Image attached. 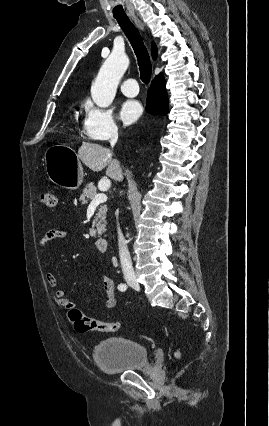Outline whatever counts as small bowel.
I'll list each match as a JSON object with an SVG mask.
<instances>
[{
	"label": "small bowel",
	"mask_w": 269,
	"mask_h": 426,
	"mask_svg": "<svg viewBox=\"0 0 269 426\" xmlns=\"http://www.w3.org/2000/svg\"><path fill=\"white\" fill-rule=\"evenodd\" d=\"M67 227L65 225H56L55 227L51 228L50 230L46 231L42 238L39 241V248L40 252L43 255V263L46 266L47 265V259L45 257V248L48 243L55 239L64 238L67 235ZM46 280L48 284L55 288V298L57 300V303L64 309H71L74 306V303L67 298L65 292L62 289L58 288V281L55 275L51 272H46ZM101 281L103 285V289L105 292V297L102 300V306L104 309L110 310L115 307L116 300H115V284L113 279L108 276L105 273H101Z\"/></svg>",
	"instance_id": "small-bowel-1"
}]
</instances>
